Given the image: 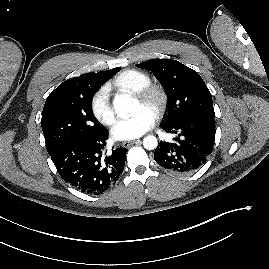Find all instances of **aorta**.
<instances>
[{"label":"aorta","mask_w":269,"mask_h":269,"mask_svg":"<svg viewBox=\"0 0 269 269\" xmlns=\"http://www.w3.org/2000/svg\"><path fill=\"white\" fill-rule=\"evenodd\" d=\"M113 107L120 118L127 119L138 109L139 102L128 94H120L114 97ZM143 146L147 150H154L158 141L155 136L149 135L143 139Z\"/></svg>","instance_id":"aorta-1"}]
</instances>
